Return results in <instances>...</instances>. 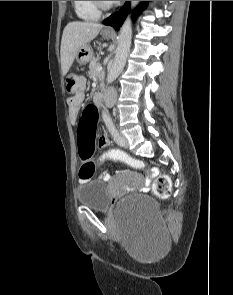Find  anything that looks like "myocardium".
<instances>
[{"mask_svg": "<svg viewBox=\"0 0 233 295\" xmlns=\"http://www.w3.org/2000/svg\"><path fill=\"white\" fill-rule=\"evenodd\" d=\"M95 5V7L100 11V12H104V11H109L114 7V3L115 2H106V1H92Z\"/></svg>", "mask_w": 233, "mask_h": 295, "instance_id": "myocardium-1", "label": "myocardium"}]
</instances>
